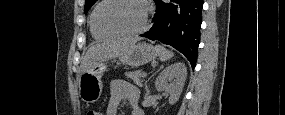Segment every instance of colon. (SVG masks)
<instances>
[{"label": "colon", "mask_w": 285, "mask_h": 115, "mask_svg": "<svg viewBox=\"0 0 285 115\" xmlns=\"http://www.w3.org/2000/svg\"><path fill=\"white\" fill-rule=\"evenodd\" d=\"M101 113L97 110L90 109L87 111V115H100Z\"/></svg>", "instance_id": "5ec220e1"}]
</instances>
